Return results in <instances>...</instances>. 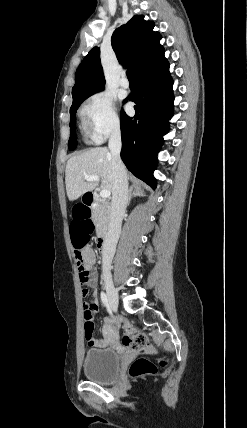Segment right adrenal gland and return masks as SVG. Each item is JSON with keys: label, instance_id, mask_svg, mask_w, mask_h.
Returning a JSON list of instances; mask_svg holds the SVG:
<instances>
[{"label": "right adrenal gland", "instance_id": "2a0ac1e0", "mask_svg": "<svg viewBox=\"0 0 247 428\" xmlns=\"http://www.w3.org/2000/svg\"><path fill=\"white\" fill-rule=\"evenodd\" d=\"M133 196L144 197L145 196L144 190H142V188L139 186L131 185L129 192H128V205H129L131 198Z\"/></svg>", "mask_w": 247, "mask_h": 428}]
</instances>
